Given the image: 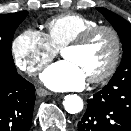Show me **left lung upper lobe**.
Listing matches in <instances>:
<instances>
[{
    "label": "left lung upper lobe",
    "mask_w": 131,
    "mask_h": 131,
    "mask_svg": "<svg viewBox=\"0 0 131 131\" xmlns=\"http://www.w3.org/2000/svg\"><path fill=\"white\" fill-rule=\"evenodd\" d=\"M117 31L123 46V57L120 66L109 83L131 81V24L106 8H97Z\"/></svg>",
    "instance_id": "obj_1"
}]
</instances>
